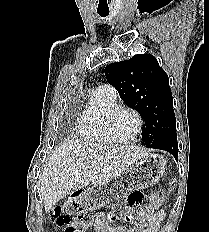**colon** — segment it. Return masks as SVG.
Instances as JSON below:
<instances>
[{
	"label": "colon",
	"mask_w": 209,
	"mask_h": 232,
	"mask_svg": "<svg viewBox=\"0 0 209 232\" xmlns=\"http://www.w3.org/2000/svg\"><path fill=\"white\" fill-rule=\"evenodd\" d=\"M163 197L162 193L154 195L155 201H160ZM50 219L59 227L64 228L65 232H81L80 226L84 221H74L70 214H64V211L60 208H54L50 212Z\"/></svg>",
	"instance_id": "1"
}]
</instances>
